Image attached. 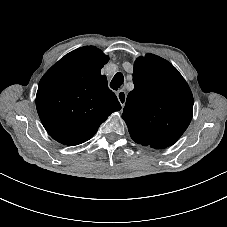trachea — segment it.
I'll return each mask as SVG.
<instances>
[{
  "label": "trachea",
  "instance_id": "3493384b",
  "mask_svg": "<svg viewBox=\"0 0 227 227\" xmlns=\"http://www.w3.org/2000/svg\"><path fill=\"white\" fill-rule=\"evenodd\" d=\"M123 82H124V76L121 72H118L113 77L110 83V87L114 90H118V88L123 84Z\"/></svg>",
  "mask_w": 227,
  "mask_h": 227
}]
</instances>
